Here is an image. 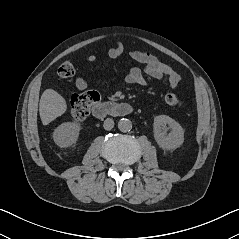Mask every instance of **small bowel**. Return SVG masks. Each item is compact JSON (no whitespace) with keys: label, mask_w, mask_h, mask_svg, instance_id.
I'll return each mask as SVG.
<instances>
[{"label":"small bowel","mask_w":239,"mask_h":239,"mask_svg":"<svg viewBox=\"0 0 239 239\" xmlns=\"http://www.w3.org/2000/svg\"><path fill=\"white\" fill-rule=\"evenodd\" d=\"M123 52L124 47L120 42H118L108 50V55L110 58L116 59L120 57ZM129 55L133 60L144 65V73L151 78L158 80L166 78L172 88H176L180 84V75L168 65L161 62L154 55L139 50H133L129 53ZM96 60L97 57L94 54L87 56V61L89 63H94ZM143 71L138 67L131 68L125 77V81L128 84L145 85L146 80L144 78ZM75 86L78 90L84 91L88 88V82L84 78L78 77L75 80Z\"/></svg>","instance_id":"small-bowel-1"}]
</instances>
